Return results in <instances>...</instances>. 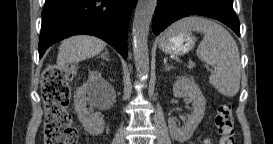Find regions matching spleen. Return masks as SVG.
<instances>
[{
	"instance_id": "spleen-1",
	"label": "spleen",
	"mask_w": 273,
	"mask_h": 144,
	"mask_svg": "<svg viewBox=\"0 0 273 144\" xmlns=\"http://www.w3.org/2000/svg\"><path fill=\"white\" fill-rule=\"evenodd\" d=\"M196 31L204 37L196 53L199 59L214 67L209 82L221 94L233 97L240 87V57L236 42L221 25L207 18L191 16L183 18L166 31Z\"/></svg>"
}]
</instances>
